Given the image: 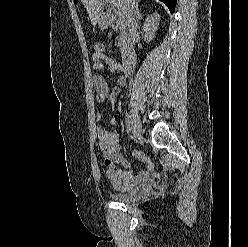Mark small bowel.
Returning a JSON list of instances; mask_svg holds the SVG:
<instances>
[{"label": "small bowel", "mask_w": 248, "mask_h": 247, "mask_svg": "<svg viewBox=\"0 0 248 247\" xmlns=\"http://www.w3.org/2000/svg\"><path fill=\"white\" fill-rule=\"evenodd\" d=\"M93 61V69L96 72L102 71L105 66H107L111 73H118L123 71L120 63L112 56L106 54H94ZM123 84L124 79L120 78L118 86L110 90L105 78L99 74L95 75L93 78V86L96 104L98 106H102L106 102H110L111 105H114L116 96L118 95ZM102 118L103 115L101 113L96 114L97 121H101ZM115 123L116 120L111 118L109 119L106 126L100 125L97 128L99 145L103 150L104 163L107 168L106 175L116 188H131L137 184L145 182L149 177V173L145 170L135 173L131 163L127 161L119 152L120 136L117 132L110 130V127ZM117 163H122L125 169H117Z\"/></svg>", "instance_id": "c3829d8e"}]
</instances>
